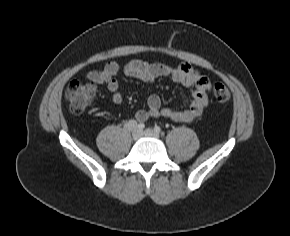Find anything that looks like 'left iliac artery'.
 Returning a JSON list of instances; mask_svg holds the SVG:
<instances>
[{
  "label": "left iliac artery",
  "mask_w": 290,
  "mask_h": 236,
  "mask_svg": "<svg viewBox=\"0 0 290 236\" xmlns=\"http://www.w3.org/2000/svg\"><path fill=\"white\" fill-rule=\"evenodd\" d=\"M154 130L157 132V133H160L161 132V128L159 126H155L154 127Z\"/></svg>",
  "instance_id": "obj_1"
}]
</instances>
